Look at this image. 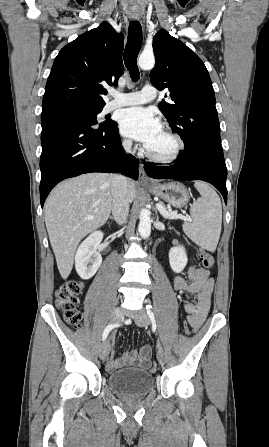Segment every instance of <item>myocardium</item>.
I'll use <instances>...</instances> for the list:
<instances>
[{
	"mask_svg": "<svg viewBox=\"0 0 269 447\" xmlns=\"http://www.w3.org/2000/svg\"><path fill=\"white\" fill-rule=\"evenodd\" d=\"M164 129L176 141V147L173 150V152L171 154H169L168 156H165V157H156V156L152 155L146 149V146H145L144 147V154L151 162H154V163H157V164L168 165V164L175 163L180 158V156L182 155V153H183V151L185 149V141H184L183 137L177 131H175L172 127L167 125V126L164 127Z\"/></svg>",
	"mask_w": 269,
	"mask_h": 447,
	"instance_id": "myocardium-1",
	"label": "myocardium"
}]
</instances>
